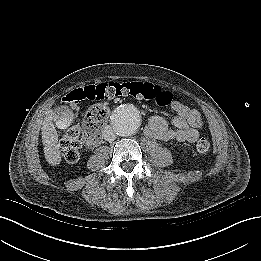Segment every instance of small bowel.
<instances>
[{"instance_id": "c3829d8e", "label": "small bowel", "mask_w": 261, "mask_h": 261, "mask_svg": "<svg viewBox=\"0 0 261 261\" xmlns=\"http://www.w3.org/2000/svg\"><path fill=\"white\" fill-rule=\"evenodd\" d=\"M169 107L176 113L171 123L159 115L152 116L145 129V134L149 138L162 141L175 140L178 142L197 141L199 130L203 127V120L200 112L180 101L171 100Z\"/></svg>"}]
</instances>
